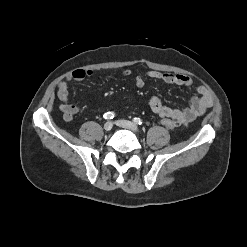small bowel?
Wrapping results in <instances>:
<instances>
[{
    "instance_id": "c3829d8e",
    "label": "small bowel",
    "mask_w": 247,
    "mask_h": 247,
    "mask_svg": "<svg viewBox=\"0 0 247 247\" xmlns=\"http://www.w3.org/2000/svg\"><path fill=\"white\" fill-rule=\"evenodd\" d=\"M93 72L91 70L76 69L70 73L64 80L58 84L57 96L61 101L60 110L63 113V119L66 122H71L73 116L80 112L81 108L69 102V83L71 81H80L85 78L91 77ZM123 76L131 75L130 70L122 71ZM145 76L162 81L167 84L183 86L187 89L192 88V80L190 77L181 74H172L159 71H148ZM136 87L142 88L145 85L143 75H137L134 79ZM197 95L192 98L188 107L183 109H174L162 104L158 97H152L149 101L151 110L163 118H170L176 120L178 123L188 125L194 119L204 114L211 106L212 99L208 90L203 87L196 88Z\"/></svg>"
}]
</instances>
